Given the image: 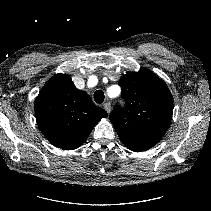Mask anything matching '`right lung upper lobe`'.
<instances>
[{"instance_id":"cb5924a9","label":"right lung upper lobe","mask_w":211,"mask_h":211,"mask_svg":"<svg viewBox=\"0 0 211 211\" xmlns=\"http://www.w3.org/2000/svg\"><path fill=\"white\" fill-rule=\"evenodd\" d=\"M34 109L43 135L64 150L81 146L101 118L108 116L86 92L77 89L66 74L53 76L43 86Z\"/></svg>"}]
</instances>
